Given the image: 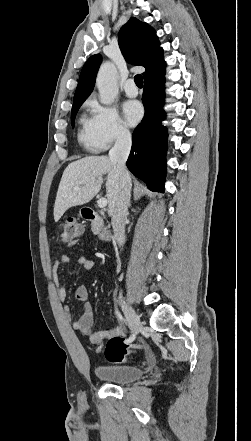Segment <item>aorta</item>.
<instances>
[{"label":"aorta","instance_id":"762f6f07","mask_svg":"<svg viewBox=\"0 0 251 441\" xmlns=\"http://www.w3.org/2000/svg\"><path fill=\"white\" fill-rule=\"evenodd\" d=\"M96 85L100 94V102L110 105L118 95L117 69L112 62H104L97 74Z\"/></svg>","mask_w":251,"mask_h":441}]
</instances>
